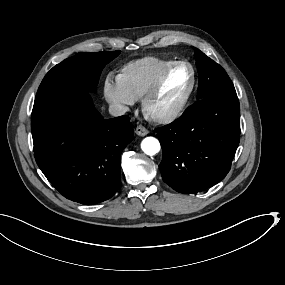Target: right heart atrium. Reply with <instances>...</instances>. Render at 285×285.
<instances>
[{
    "instance_id": "d8ad5b80",
    "label": "right heart atrium",
    "mask_w": 285,
    "mask_h": 285,
    "mask_svg": "<svg viewBox=\"0 0 285 285\" xmlns=\"http://www.w3.org/2000/svg\"><path fill=\"white\" fill-rule=\"evenodd\" d=\"M103 94L106 102L119 113L127 111L136 99L130 95L123 85L117 81L113 72H109L103 80Z\"/></svg>"
}]
</instances>
